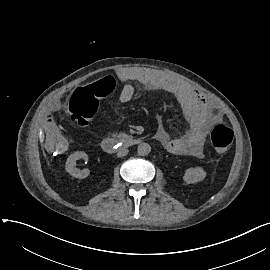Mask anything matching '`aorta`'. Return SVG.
I'll return each instance as SVG.
<instances>
[{
	"mask_svg": "<svg viewBox=\"0 0 270 270\" xmlns=\"http://www.w3.org/2000/svg\"><path fill=\"white\" fill-rule=\"evenodd\" d=\"M137 151L139 155L145 156L151 152V147L148 143H140L138 145Z\"/></svg>",
	"mask_w": 270,
	"mask_h": 270,
	"instance_id": "obj_1",
	"label": "aorta"
}]
</instances>
